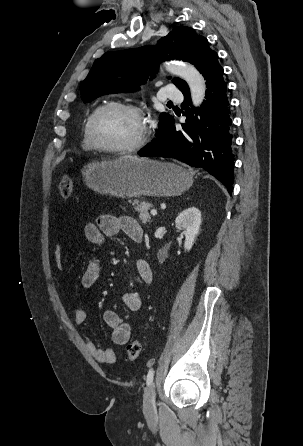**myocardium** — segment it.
Wrapping results in <instances>:
<instances>
[{
    "instance_id": "myocardium-1",
    "label": "myocardium",
    "mask_w": 303,
    "mask_h": 446,
    "mask_svg": "<svg viewBox=\"0 0 303 446\" xmlns=\"http://www.w3.org/2000/svg\"><path fill=\"white\" fill-rule=\"evenodd\" d=\"M110 109H117V110H123V111L130 112V113L134 114L141 121V125H142L141 132H140L138 138L134 142H132L128 145H125V146L115 147V146L102 145L96 140V138L94 136V132H93L94 122L99 114H101L102 112H104L106 110H110ZM149 135H150V128H149V124L146 120L144 111L141 108H139L138 106L133 105V104H128V103L108 102V103L102 104V105L98 106L90 114V116L87 119V123H86V136H87L88 142L94 149L103 151V152L130 153V152L137 151V150L141 149L147 143V141L149 139Z\"/></svg>"
}]
</instances>
